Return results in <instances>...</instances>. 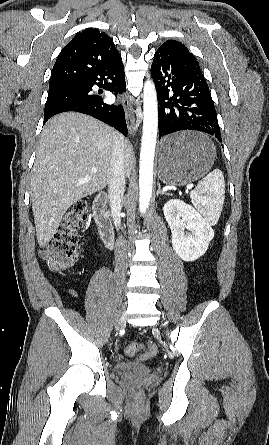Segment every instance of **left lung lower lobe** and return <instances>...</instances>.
Segmentation results:
<instances>
[{"mask_svg":"<svg viewBox=\"0 0 269 445\" xmlns=\"http://www.w3.org/2000/svg\"><path fill=\"white\" fill-rule=\"evenodd\" d=\"M151 73L159 105V139L181 130H196L221 141L211 93L193 54L186 50H157ZM176 149L173 144L165 147L166 152Z\"/></svg>","mask_w":269,"mask_h":445,"instance_id":"left-lung-lower-lobe-1","label":"left lung lower lobe"}]
</instances>
